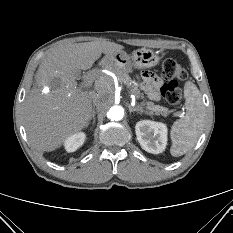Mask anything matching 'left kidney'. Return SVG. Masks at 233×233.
<instances>
[{
    "instance_id": "left-kidney-1",
    "label": "left kidney",
    "mask_w": 233,
    "mask_h": 233,
    "mask_svg": "<svg viewBox=\"0 0 233 233\" xmlns=\"http://www.w3.org/2000/svg\"><path fill=\"white\" fill-rule=\"evenodd\" d=\"M136 136L141 147L152 154L163 152L167 145V127L160 122L139 121L135 126Z\"/></svg>"
}]
</instances>
